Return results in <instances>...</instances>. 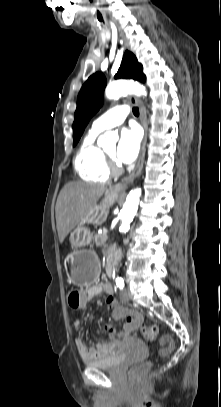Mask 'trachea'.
<instances>
[{
    "label": "trachea",
    "mask_w": 221,
    "mask_h": 407,
    "mask_svg": "<svg viewBox=\"0 0 221 407\" xmlns=\"http://www.w3.org/2000/svg\"><path fill=\"white\" fill-rule=\"evenodd\" d=\"M132 110L135 116H139V109L137 107H134Z\"/></svg>",
    "instance_id": "3493384b"
}]
</instances>
